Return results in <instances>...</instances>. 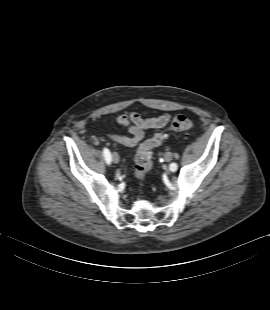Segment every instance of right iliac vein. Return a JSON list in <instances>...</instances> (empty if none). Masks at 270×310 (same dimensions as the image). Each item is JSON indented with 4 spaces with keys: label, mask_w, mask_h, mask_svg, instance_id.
Instances as JSON below:
<instances>
[{
    "label": "right iliac vein",
    "mask_w": 270,
    "mask_h": 310,
    "mask_svg": "<svg viewBox=\"0 0 270 310\" xmlns=\"http://www.w3.org/2000/svg\"><path fill=\"white\" fill-rule=\"evenodd\" d=\"M112 160H113L114 163H118V162L120 161L119 155H118L117 153L114 152V153L112 154Z\"/></svg>",
    "instance_id": "obj_1"
}]
</instances>
